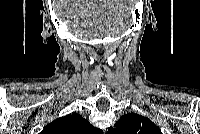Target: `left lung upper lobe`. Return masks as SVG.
Returning a JSON list of instances; mask_svg holds the SVG:
<instances>
[{
    "instance_id": "left-lung-upper-lobe-1",
    "label": "left lung upper lobe",
    "mask_w": 200,
    "mask_h": 134,
    "mask_svg": "<svg viewBox=\"0 0 200 134\" xmlns=\"http://www.w3.org/2000/svg\"><path fill=\"white\" fill-rule=\"evenodd\" d=\"M108 134H162L160 129L148 118L135 113L123 115L108 129Z\"/></svg>"
}]
</instances>
